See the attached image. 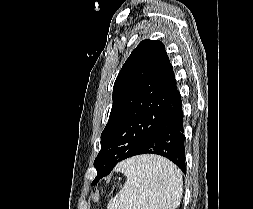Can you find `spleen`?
Returning <instances> with one entry per match:
<instances>
[{
  "instance_id": "3e777b00",
  "label": "spleen",
  "mask_w": 253,
  "mask_h": 209,
  "mask_svg": "<svg viewBox=\"0 0 253 209\" xmlns=\"http://www.w3.org/2000/svg\"><path fill=\"white\" fill-rule=\"evenodd\" d=\"M126 183L107 209H176L182 198V175L169 160L156 155L135 156L116 167Z\"/></svg>"
}]
</instances>
